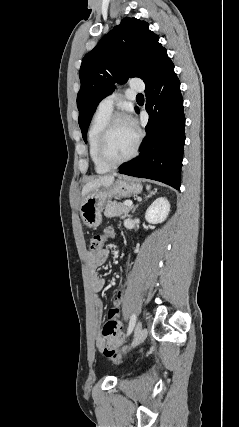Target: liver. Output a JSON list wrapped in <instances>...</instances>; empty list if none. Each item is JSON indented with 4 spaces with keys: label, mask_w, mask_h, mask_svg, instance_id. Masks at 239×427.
<instances>
[{
    "label": "liver",
    "mask_w": 239,
    "mask_h": 427,
    "mask_svg": "<svg viewBox=\"0 0 239 427\" xmlns=\"http://www.w3.org/2000/svg\"><path fill=\"white\" fill-rule=\"evenodd\" d=\"M115 177L112 175L101 176L94 180L89 181L82 189V197L84 198L87 194L93 190L98 189L101 186L109 187L114 182Z\"/></svg>",
    "instance_id": "obj_1"
}]
</instances>
